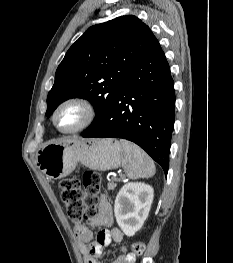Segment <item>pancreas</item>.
I'll use <instances>...</instances> for the list:
<instances>
[{
  "label": "pancreas",
  "instance_id": "obj_1",
  "mask_svg": "<svg viewBox=\"0 0 233 263\" xmlns=\"http://www.w3.org/2000/svg\"><path fill=\"white\" fill-rule=\"evenodd\" d=\"M107 187H108V190H113L116 187V184L113 182H109Z\"/></svg>",
  "mask_w": 233,
  "mask_h": 263
}]
</instances>
